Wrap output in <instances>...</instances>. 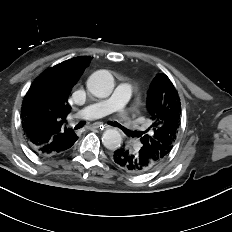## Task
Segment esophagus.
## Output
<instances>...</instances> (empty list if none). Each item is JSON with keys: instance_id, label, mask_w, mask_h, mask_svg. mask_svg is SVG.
Segmentation results:
<instances>
[{"instance_id": "34e87169", "label": "esophagus", "mask_w": 232, "mask_h": 232, "mask_svg": "<svg viewBox=\"0 0 232 232\" xmlns=\"http://www.w3.org/2000/svg\"><path fill=\"white\" fill-rule=\"evenodd\" d=\"M92 127H93V128H96V129L103 130V129L108 128L109 126L103 125V124H93Z\"/></svg>"}]
</instances>
